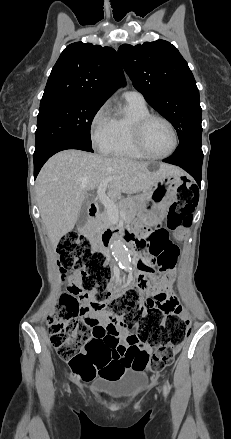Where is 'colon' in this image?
Masks as SVG:
<instances>
[{"label": "colon", "instance_id": "1", "mask_svg": "<svg viewBox=\"0 0 231 439\" xmlns=\"http://www.w3.org/2000/svg\"><path fill=\"white\" fill-rule=\"evenodd\" d=\"M177 196L168 222L172 229L185 230L192 223L197 192L182 184L177 189ZM58 255L62 269L81 275V290L91 294L92 304L105 308L127 328L136 327L139 341L152 349V353L133 351L127 358L120 359V354L105 344H91V329L79 319L78 291L64 292L59 297L56 312L48 319V333L58 356L69 362L75 373L83 376L99 373L105 379L118 380L130 364L140 370L159 371L173 361L177 347L189 331L188 321L182 317V307L145 308V302L149 291L156 289L151 279L152 268L157 266L162 272L173 268L177 258L175 248L160 253L151 264L140 263L135 280L119 294H113L109 288L112 269L106 255L85 235L69 233L63 236Z\"/></svg>", "mask_w": 231, "mask_h": 439}]
</instances>
